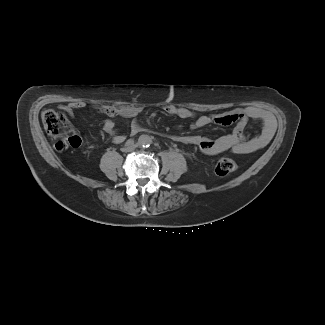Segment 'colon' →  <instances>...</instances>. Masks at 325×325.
<instances>
[{
  "label": "colon",
  "mask_w": 325,
  "mask_h": 325,
  "mask_svg": "<svg viewBox=\"0 0 325 325\" xmlns=\"http://www.w3.org/2000/svg\"><path fill=\"white\" fill-rule=\"evenodd\" d=\"M41 118L44 128L54 140V146L57 150L79 145L80 139L77 136L70 135V124L63 113L47 109L43 111ZM236 168L237 164L231 158H221L215 165V171L220 176L228 175L234 172Z\"/></svg>",
  "instance_id": "5ec220e1"
}]
</instances>
